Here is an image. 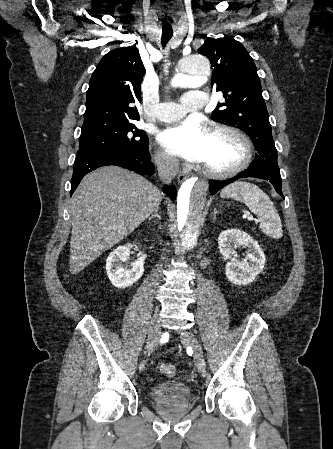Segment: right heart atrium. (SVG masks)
<instances>
[{"label":"right heart atrium","instance_id":"d8ad5b80","mask_svg":"<svg viewBox=\"0 0 333 449\" xmlns=\"http://www.w3.org/2000/svg\"><path fill=\"white\" fill-rule=\"evenodd\" d=\"M154 158L158 167L163 171L175 172L178 169L177 159L163 149H158Z\"/></svg>","mask_w":333,"mask_h":449}]
</instances>
